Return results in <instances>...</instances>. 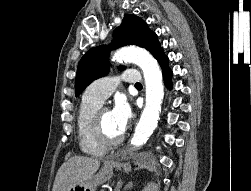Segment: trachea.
Returning a JSON list of instances; mask_svg holds the SVG:
<instances>
[{"instance_id":"3493384b","label":"trachea","mask_w":251,"mask_h":191,"mask_svg":"<svg viewBox=\"0 0 251 191\" xmlns=\"http://www.w3.org/2000/svg\"><path fill=\"white\" fill-rule=\"evenodd\" d=\"M137 86H142V85H141V83L138 82V83H135V87H137Z\"/></svg>"}]
</instances>
